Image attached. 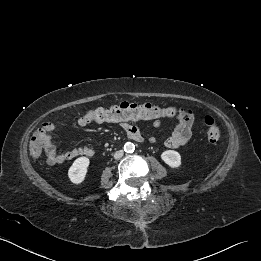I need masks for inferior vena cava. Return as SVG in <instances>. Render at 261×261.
Segmentation results:
<instances>
[{"label": "inferior vena cava", "mask_w": 261, "mask_h": 261, "mask_svg": "<svg viewBox=\"0 0 261 261\" xmlns=\"http://www.w3.org/2000/svg\"><path fill=\"white\" fill-rule=\"evenodd\" d=\"M123 155H124L123 150H119V151H116V152L114 153V158H115L116 160H119V159H121V158L123 157Z\"/></svg>", "instance_id": "602c4592"}]
</instances>
